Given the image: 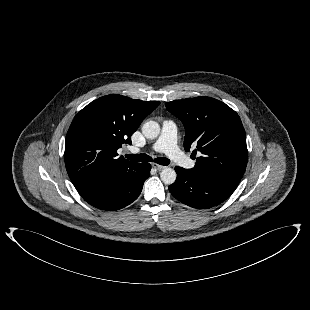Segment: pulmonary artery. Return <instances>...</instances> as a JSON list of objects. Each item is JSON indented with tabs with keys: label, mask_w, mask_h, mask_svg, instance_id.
<instances>
[{
	"label": "pulmonary artery",
	"mask_w": 310,
	"mask_h": 310,
	"mask_svg": "<svg viewBox=\"0 0 310 310\" xmlns=\"http://www.w3.org/2000/svg\"><path fill=\"white\" fill-rule=\"evenodd\" d=\"M177 133V126L172 120L163 121L160 136L152 145V149L165 153L173 162L182 167L192 168L194 162L177 146ZM137 151L138 149H133V152Z\"/></svg>",
	"instance_id": "1"
}]
</instances>
